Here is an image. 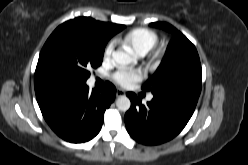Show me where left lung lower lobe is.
<instances>
[{"label": "left lung lower lobe", "mask_w": 248, "mask_h": 165, "mask_svg": "<svg viewBox=\"0 0 248 165\" xmlns=\"http://www.w3.org/2000/svg\"><path fill=\"white\" fill-rule=\"evenodd\" d=\"M131 107L125 114L130 136L145 145H157L178 135L191 118L198 98L154 96L143 105L134 93H127Z\"/></svg>", "instance_id": "left-lung-lower-lobe-1"}]
</instances>
